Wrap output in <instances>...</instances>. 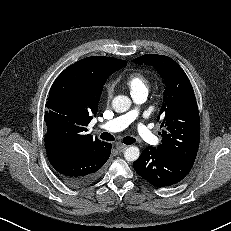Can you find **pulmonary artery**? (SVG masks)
Returning a JSON list of instances; mask_svg holds the SVG:
<instances>
[{
	"label": "pulmonary artery",
	"mask_w": 231,
	"mask_h": 231,
	"mask_svg": "<svg viewBox=\"0 0 231 231\" xmlns=\"http://www.w3.org/2000/svg\"><path fill=\"white\" fill-rule=\"evenodd\" d=\"M148 93L141 92L135 95H131L134 104L136 105L132 110L127 113L120 115L102 125L101 129L107 130L109 132H118L127 128L133 121H135L139 114L138 106L143 104L147 99ZM137 133L139 137L149 144L158 143V138L154 132L146 125L140 123L137 126Z\"/></svg>",
	"instance_id": "obj_1"
}]
</instances>
